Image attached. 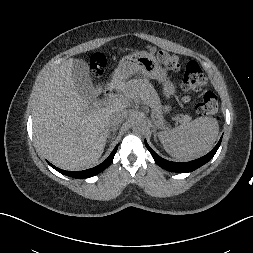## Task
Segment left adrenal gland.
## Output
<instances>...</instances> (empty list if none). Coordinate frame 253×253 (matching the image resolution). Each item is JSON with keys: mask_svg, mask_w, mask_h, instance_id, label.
Returning a JSON list of instances; mask_svg holds the SVG:
<instances>
[{"mask_svg": "<svg viewBox=\"0 0 253 253\" xmlns=\"http://www.w3.org/2000/svg\"><path fill=\"white\" fill-rule=\"evenodd\" d=\"M154 132H155V130H154ZM154 140L157 141V139H156V134H154Z\"/></svg>", "mask_w": 253, "mask_h": 253, "instance_id": "1", "label": "left adrenal gland"}]
</instances>
